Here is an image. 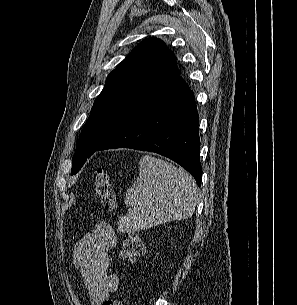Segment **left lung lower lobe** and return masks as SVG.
<instances>
[{
    "instance_id": "obj_1",
    "label": "left lung lower lobe",
    "mask_w": 297,
    "mask_h": 305,
    "mask_svg": "<svg viewBox=\"0 0 297 305\" xmlns=\"http://www.w3.org/2000/svg\"><path fill=\"white\" fill-rule=\"evenodd\" d=\"M132 148L177 162L201 184L198 112L193 92L175 76L146 88L96 150Z\"/></svg>"
}]
</instances>
